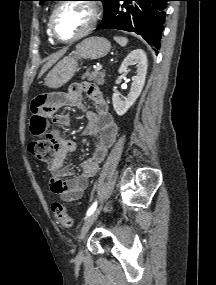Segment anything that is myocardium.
<instances>
[{
    "instance_id": "f54148a6",
    "label": "myocardium",
    "mask_w": 216,
    "mask_h": 285,
    "mask_svg": "<svg viewBox=\"0 0 216 285\" xmlns=\"http://www.w3.org/2000/svg\"><path fill=\"white\" fill-rule=\"evenodd\" d=\"M70 3H82V4H85L87 5L90 9H91V12H92V18H91V21L89 23V25L79 34H77L76 36H73L71 38H67V39H63V38H60L56 32H55V28H54V21H55V17L58 13V11L65 5L67 4H70ZM99 16H100V10H99V7L98 5L91 1V0H82L80 2H77V1H73V0H66V1H63L61 3H59L55 8L54 10L52 11L51 15H50V18H49V21H48V27H49V32H50V35L52 37V39L56 42H59V43H64V44H68V43H73V42H76L84 37H86L87 35H89L93 30L94 28L96 27L97 23H98V20H99Z\"/></svg>"
}]
</instances>
